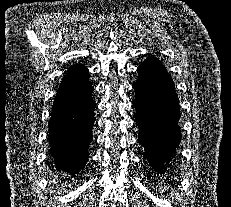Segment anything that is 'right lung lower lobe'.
I'll list each match as a JSON object with an SVG mask.
<instances>
[{"instance_id": "obj_1", "label": "right lung lower lobe", "mask_w": 231, "mask_h": 207, "mask_svg": "<svg viewBox=\"0 0 231 207\" xmlns=\"http://www.w3.org/2000/svg\"><path fill=\"white\" fill-rule=\"evenodd\" d=\"M88 70L76 64L64 76L52 106L49 142L56 167L71 175L88 161L95 117Z\"/></svg>"}]
</instances>
